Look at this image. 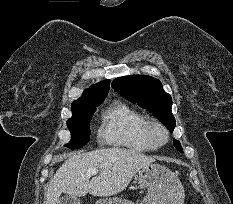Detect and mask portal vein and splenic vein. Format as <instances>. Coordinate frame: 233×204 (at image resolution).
<instances>
[{
  "label": "portal vein and splenic vein",
  "mask_w": 233,
  "mask_h": 204,
  "mask_svg": "<svg viewBox=\"0 0 233 204\" xmlns=\"http://www.w3.org/2000/svg\"><path fill=\"white\" fill-rule=\"evenodd\" d=\"M98 171H99L98 169H89L88 172H87V174L89 176H93V175L98 174Z\"/></svg>",
  "instance_id": "1"
}]
</instances>
